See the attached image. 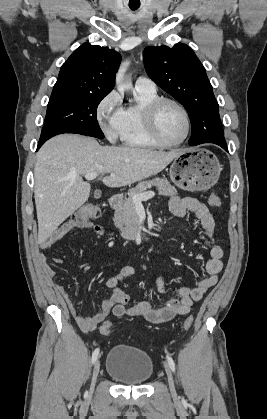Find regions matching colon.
<instances>
[{
    "label": "colon",
    "mask_w": 267,
    "mask_h": 419,
    "mask_svg": "<svg viewBox=\"0 0 267 419\" xmlns=\"http://www.w3.org/2000/svg\"><path fill=\"white\" fill-rule=\"evenodd\" d=\"M209 205L213 207H219L221 205V198L216 194H211L208 199ZM100 215V209L98 206L93 204L84 205L79 208L72 216L71 220L74 222H85L97 218ZM193 323V317L189 316L183 323V330H188ZM112 324L109 321L102 323L100 332L103 335L110 333Z\"/></svg>",
    "instance_id": "colon-1"
}]
</instances>
